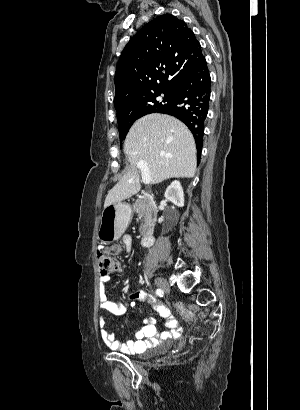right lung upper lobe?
I'll use <instances>...</instances> for the list:
<instances>
[{
	"label": "right lung upper lobe",
	"mask_w": 300,
	"mask_h": 410,
	"mask_svg": "<svg viewBox=\"0 0 300 410\" xmlns=\"http://www.w3.org/2000/svg\"><path fill=\"white\" fill-rule=\"evenodd\" d=\"M203 58L200 43L184 21L164 14L146 24L125 46L117 65V120L137 116L143 97L174 90Z\"/></svg>",
	"instance_id": "1"
}]
</instances>
